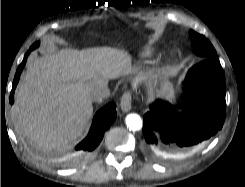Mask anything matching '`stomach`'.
Masks as SVG:
<instances>
[{
	"instance_id": "stomach-1",
	"label": "stomach",
	"mask_w": 245,
	"mask_h": 187,
	"mask_svg": "<svg viewBox=\"0 0 245 187\" xmlns=\"http://www.w3.org/2000/svg\"><path fill=\"white\" fill-rule=\"evenodd\" d=\"M170 90V84L169 83H163L161 84L160 88L156 90L157 93L159 92H167ZM153 96V93L151 94Z\"/></svg>"
}]
</instances>
